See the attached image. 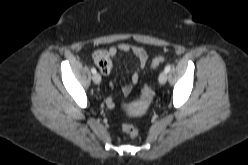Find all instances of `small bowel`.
Here are the masks:
<instances>
[{"instance_id": "c3829d8e", "label": "small bowel", "mask_w": 248, "mask_h": 165, "mask_svg": "<svg viewBox=\"0 0 248 165\" xmlns=\"http://www.w3.org/2000/svg\"><path fill=\"white\" fill-rule=\"evenodd\" d=\"M119 53L131 54L137 60V67L131 76L130 83L123 85L121 88L123 95L127 96L131 93L133 87L138 83V81L140 79V74L146 66V63L148 60V54L140 46H135V45H131L128 43L115 44V45L111 46L107 51V54L110 58V63L106 69L101 70V72L103 74L108 75L110 73V71L112 69V59ZM107 104L110 107H114L115 102L113 99L109 98L107 100Z\"/></svg>"}]
</instances>
